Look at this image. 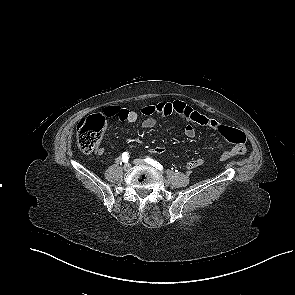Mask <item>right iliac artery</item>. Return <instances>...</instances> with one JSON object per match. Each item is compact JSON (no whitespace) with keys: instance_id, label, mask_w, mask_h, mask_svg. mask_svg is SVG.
<instances>
[{"instance_id":"right-iliac-artery-1","label":"right iliac artery","mask_w":295,"mask_h":295,"mask_svg":"<svg viewBox=\"0 0 295 295\" xmlns=\"http://www.w3.org/2000/svg\"><path fill=\"white\" fill-rule=\"evenodd\" d=\"M128 160H129V154L127 153V152H124L123 154H122V158H117L116 159V162L119 164H122V161L124 162V163H127L128 162Z\"/></svg>"}]
</instances>
